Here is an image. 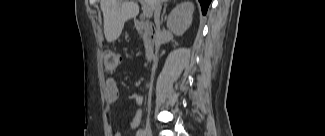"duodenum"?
I'll use <instances>...</instances> for the list:
<instances>
[{"mask_svg":"<svg viewBox=\"0 0 325 136\" xmlns=\"http://www.w3.org/2000/svg\"><path fill=\"white\" fill-rule=\"evenodd\" d=\"M135 27L144 36V49L146 55L149 56L154 51L156 46V27L152 23L145 20L136 21Z\"/></svg>","mask_w":325,"mask_h":136,"instance_id":"410a0bca","label":"duodenum"}]
</instances>
